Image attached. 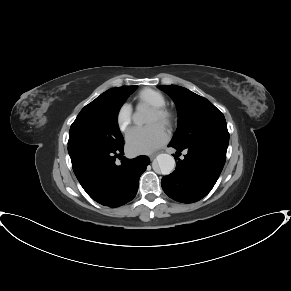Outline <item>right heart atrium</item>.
<instances>
[{
	"instance_id": "obj_1",
	"label": "right heart atrium",
	"mask_w": 291,
	"mask_h": 291,
	"mask_svg": "<svg viewBox=\"0 0 291 291\" xmlns=\"http://www.w3.org/2000/svg\"><path fill=\"white\" fill-rule=\"evenodd\" d=\"M132 122V108L128 104L120 107L117 113V125L122 132H127Z\"/></svg>"
}]
</instances>
